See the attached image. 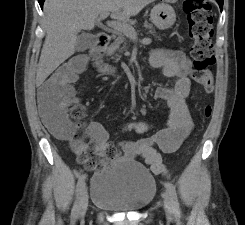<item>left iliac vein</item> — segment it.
Wrapping results in <instances>:
<instances>
[{
  "label": "left iliac vein",
  "instance_id": "4c4485c4",
  "mask_svg": "<svg viewBox=\"0 0 245 225\" xmlns=\"http://www.w3.org/2000/svg\"><path fill=\"white\" fill-rule=\"evenodd\" d=\"M163 198H164L165 212L167 217L170 219L172 217V202L170 200L168 193H164Z\"/></svg>",
  "mask_w": 245,
  "mask_h": 225
}]
</instances>
